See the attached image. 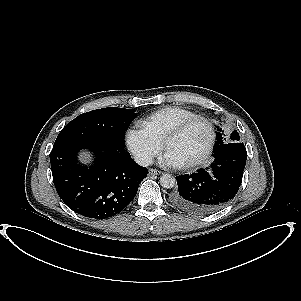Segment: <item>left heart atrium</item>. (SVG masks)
<instances>
[{
	"label": "left heart atrium",
	"mask_w": 301,
	"mask_h": 301,
	"mask_svg": "<svg viewBox=\"0 0 301 301\" xmlns=\"http://www.w3.org/2000/svg\"><path fill=\"white\" fill-rule=\"evenodd\" d=\"M160 163L170 168H183L187 164L182 158L168 150L161 156Z\"/></svg>",
	"instance_id": "left-heart-atrium-1"
}]
</instances>
